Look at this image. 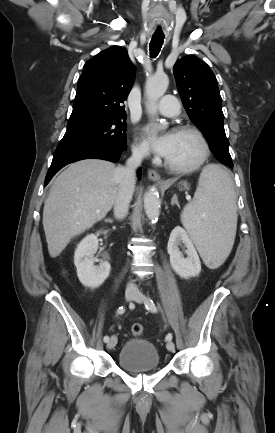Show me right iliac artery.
<instances>
[{"mask_svg":"<svg viewBox=\"0 0 275 433\" xmlns=\"http://www.w3.org/2000/svg\"><path fill=\"white\" fill-rule=\"evenodd\" d=\"M124 312H125V307H123V306H121L117 309L118 314H123ZM103 340H104V342H108L109 336H104Z\"/></svg>","mask_w":275,"mask_h":433,"instance_id":"1","label":"right iliac artery"}]
</instances>
